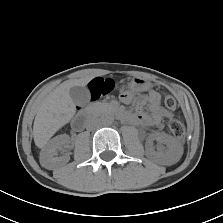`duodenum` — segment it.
<instances>
[{
  "label": "duodenum",
  "mask_w": 223,
  "mask_h": 223,
  "mask_svg": "<svg viewBox=\"0 0 223 223\" xmlns=\"http://www.w3.org/2000/svg\"><path fill=\"white\" fill-rule=\"evenodd\" d=\"M114 113L116 114V116L118 118L127 120L128 115L124 111L118 109V110L114 111ZM85 123H86L85 118H83L82 116H77L76 118L73 119L72 128L73 129H81V128H83Z\"/></svg>",
  "instance_id": "obj_1"
}]
</instances>
